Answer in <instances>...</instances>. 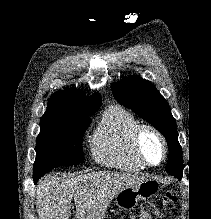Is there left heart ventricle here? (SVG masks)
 I'll return each instance as SVG.
<instances>
[{
  "label": "left heart ventricle",
  "mask_w": 211,
  "mask_h": 219,
  "mask_svg": "<svg viewBox=\"0 0 211 219\" xmlns=\"http://www.w3.org/2000/svg\"><path fill=\"white\" fill-rule=\"evenodd\" d=\"M141 150L145 158L151 163H158L162 155L160 141L152 133L146 132L141 141Z\"/></svg>",
  "instance_id": "left-heart-ventricle-1"
}]
</instances>
